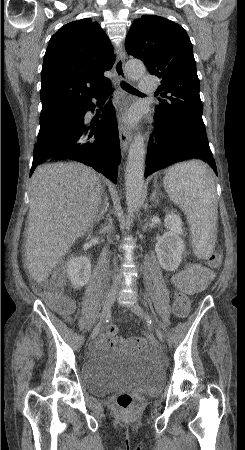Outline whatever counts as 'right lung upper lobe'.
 Instances as JSON below:
<instances>
[{
	"mask_svg": "<svg viewBox=\"0 0 245 450\" xmlns=\"http://www.w3.org/2000/svg\"><path fill=\"white\" fill-rule=\"evenodd\" d=\"M114 62L111 42L97 22L86 18L64 25L44 56L42 111L73 108L100 92L109 83L104 72Z\"/></svg>",
	"mask_w": 245,
	"mask_h": 450,
	"instance_id": "1",
	"label": "right lung upper lobe"
}]
</instances>
